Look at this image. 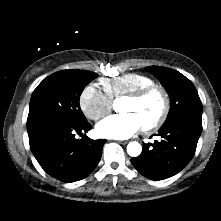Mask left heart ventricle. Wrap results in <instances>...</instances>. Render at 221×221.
Masks as SVG:
<instances>
[{"label": "left heart ventricle", "instance_id": "1", "mask_svg": "<svg viewBox=\"0 0 221 221\" xmlns=\"http://www.w3.org/2000/svg\"><path fill=\"white\" fill-rule=\"evenodd\" d=\"M162 107L161 98L158 94H152L141 101H131L124 99L120 111L122 113H133L141 121L142 125L155 120Z\"/></svg>", "mask_w": 221, "mask_h": 221}]
</instances>
